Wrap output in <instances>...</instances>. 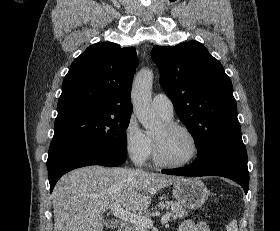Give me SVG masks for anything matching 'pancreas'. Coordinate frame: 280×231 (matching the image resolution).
<instances>
[{
  "label": "pancreas",
  "mask_w": 280,
  "mask_h": 231,
  "mask_svg": "<svg viewBox=\"0 0 280 231\" xmlns=\"http://www.w3.org/2000/svg\"><path fill=\"white\" fill-rule=\"evenodd\" d=\"M157 207H172L171 213L173 219H177V217H185L187 213L183 205H180L177 201H159ZM143 215L147 217V215H153V213H151V211H144ZM128 231H147V227H142L139 223H131Z\"/></svg>",
  "instance_id": "cf45deb5"
}]
</instances>
